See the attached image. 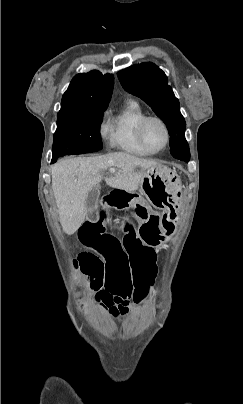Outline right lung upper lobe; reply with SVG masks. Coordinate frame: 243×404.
<instances>
[{"label":"right lung upper lobe","mask_w":243,"mask_h":404,"mask_svg":"<svg viewBox=\"0 0 243 404\" xmlns=\"http://www.w3.org/2000/svg\"><path fill=\"white\" fill-rule=\"evenodd\" d=\"M113 85L114 76L112 74L103 75L97 70L77 74L63 94L60 111L107 107Z\"/></svg>","instance_id":"obj_1"}]
</instances>
